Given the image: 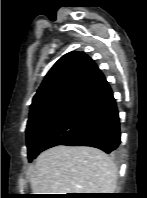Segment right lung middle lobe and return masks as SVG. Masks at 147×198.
I'll return each instance as SVG.
<instances>
[{
    "label": "right lung middle lobe",
    "mask_w": 147,
    "mask_h": 198,
    "mask_svg": "<svg viewBox=\"0 0 147 198\" xmlns=\"http://www.w3.org/2000/svg\"><path fill=\"white\" fill-rule=\"evenodd\" d=\"M73 105V103H55L30 112L26 128L29 161L36 156L40 143L69 112Z\"/></svg>",
    "instance_id": "right-lung-middle-lobe-1"
}]
</instances>
